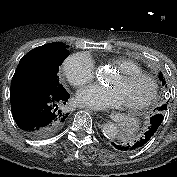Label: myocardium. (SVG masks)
<instances>
[{
	"label": "myocardium",
	"instance_id": "f54148a6",
	"mask_svg": "<svg viewBox=\"0 0 177 177\" xmlns=\"http://www.w3.org/2000/svg\"><path fill=\"white\" fill-rule=\"evenodd\" d=\"M119 76L123 80H144L149 83L150 85V92L147 95V97L137 103H130L125 104V107L129 110H141L149 106L157 97L158 93V83L157 81L150 75L144 73V72H129V73H120Z\"/></svg>",
	"mask_w": 177,
	"mask_h": 177
}]
</instances>
